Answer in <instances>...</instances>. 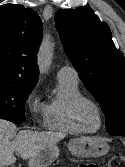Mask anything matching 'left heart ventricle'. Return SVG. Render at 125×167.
Here are the masks:
<instances>
[{
  "label": "left heart ventricle",
  "mask_w": 125,
  "mask_h": 167,
  "mask_svg": "<svg viewBox=\"0 0 125 167\" xmlns=\"http://www.w3.org/2000/svg\"><path fill=\"white\" fill-rule=\"evenodd\" d=\"M80 120L87 129H95L98 126L99 118L97 111L90 104H84L80 110Z\"/></svg>",
  "instance_id": "b2bd125f"
}]
</instances>
